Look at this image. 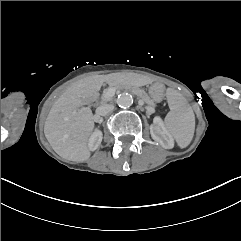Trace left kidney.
Returning a JSON list of instances; mask_svg holds the SVG:
<instances>
[{"instance_id": "obj_1", "label": "left kidney", "mask_w": 241, "mask_h": 241, "mask_svg": "<svg viewBox=\"0 0 241 241\" xmlns=\"http://www.w3.org/2000/svg\"><path fill=\"white\" fill-rule=\"evenodd\" d=\"M150 134L152 139L164 149L173 147L172 137L158 117L154 118L153 124L150 126Z\"/></svg>"}]
</instances>
